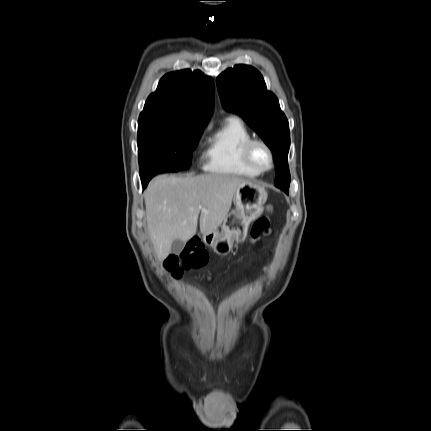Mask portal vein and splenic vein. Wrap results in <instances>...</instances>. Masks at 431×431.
Returning a JSON list of instances; mask_svg holds the SVG:
<instances>
[{
    "mask_svg": "<svg viewBox=\"0 0 431 431\" xmlns=\"http://www.w3.org/2000/svg\"><path fill=\"white\" fill-rule=\"evenodd\" d=\"M200 209H203L202 206H199Z\"/></svg>",
    "mask_w": 431,
    "mask_h": 431,
    "instance_id": "1",
    "label": "portal vein and splenic vein"
}]
</instances>
